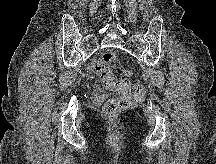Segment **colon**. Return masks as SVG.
<instances>
[{
	"instance_id": "colon-1",
	"label": "colon",
	"mask_w": 216,
	"mask_h": 164,
	"mask_svg": "<svg viewBox=\"0 0 216 164\" xmlns=\"http://www.w3.org/2000/svg\"><path fill=\"white\" fill-rule=\"evenodd\" d=\"M113 65L119 67L117 55L113 52L105 53L96 64L104 87L117 95L116 99L107 102L104 109L110 119L116 118L121 111L140 101L144 93L143 87L133 82L128 71L124 70L122 76L115 75L110 70Z\"/></svg>"
}]
</instances>
